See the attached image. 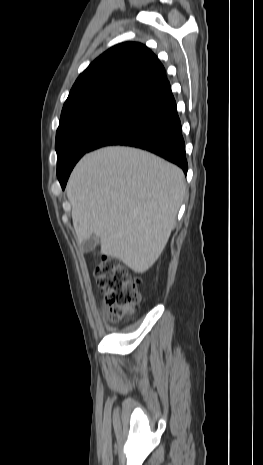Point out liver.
I'll use <instances>...</instances> for the list:
<instances>
[{"label": "liver", "instance_id": "6515ba94", "mask_svg": "<svg viewBox=\"0 0 263 465\" xmlns=\"http://www.w3.org/2000/svg\"><path fill=\"white\" fill-rule=\"evenodd\" d=\"M78 242L100 239L101 254L146 272L164 250L185 194L182 170L130 147L86 154L67 184Z\"/></svg>", "mask_w": 263, "mask_h": 465}]
</instances>
